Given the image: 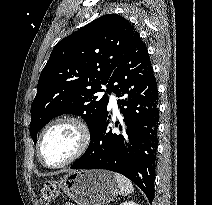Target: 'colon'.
I'll return each instance as SVG.
<instances>
[{"mask_svg":"<svg viewBox=\"0 0 212 205\" xmlns=\"http://www.w3.org/2000/svg\"><path fill=\"white\" fill-rule=\"evenodd\" d=\"M58 189L55 183L47 182L41 191V200L43 205H48L58 197Z\"/></svg>","mask_w":212,"mask_h":205,"instance_id":"colon-1","label":"colon"}]
</instances>
